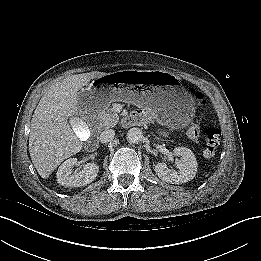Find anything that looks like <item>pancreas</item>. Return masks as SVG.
I'll return each instance as SVG.
<instances>
[{
  "label": "pancreas",
  "mask_w": 261,
  "mask_h": 261,
  "mask_svg": "<svg viewBox=\"0 0 261 261\" xmlns=\"http://www.w3.org/2000/svg\"><path fill=\"white\" fill-rule=\"evenodd\" d=\"M119 121L118 114L112 108H106L99 115V128L114 127Z\"/></svg>",
  "instance_id": "obj_1"
}]
</instances>
